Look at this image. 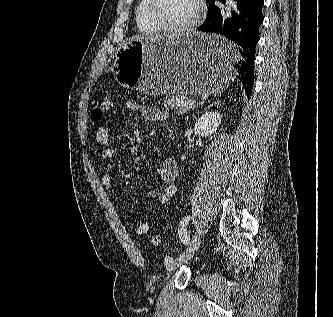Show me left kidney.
<instances>
[{"instance_id":"left-kidney-1","label":"left kidney","mask_w":333,"mask_h":317,"mask_svg":"<svg viewBox=\"0 0 333 317\" xmlns=\"http://www.w3.org/2000/svg\"><path fill=\"white\" fill-rule=\"evenodd\" d=\"M221 119L222 115L219 112H206L196 121L194 131L203 137L211 136L219 128Z\"/></svg>"}]
</instances>
